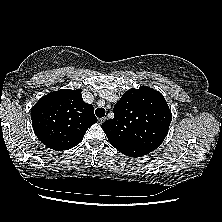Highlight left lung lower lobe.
<instances>
[{"label": "left lung lower lobe", "instance_id": "left-lung-lower-lobe-1", "mask_svg": "<svg viewBox=\"0 0 222 222\" xmlns=\"http://www.w3.org/2000/svg\"><path fill=\"white\" fill-rule=\"evenodd\" d=\"M114 147L124 155L134 158L142 157L143 155L152 152L151 149L145 147H121V146L119 147L114 146Z\"/></svg>", "mask_w": 222, "mask_h": 222}]
</instances>
